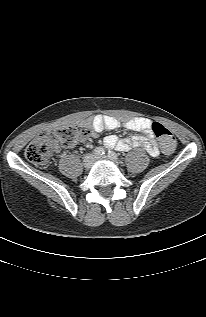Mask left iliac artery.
Masks as SVG:
<instances>
[{"mask_svg":"<svg viewBox=\"0 0 206 317\" xmlns=\"http://www.w3.org/2000/svg\"><path fill=\"white\" fill-rule=\"evenodd\" d=\"M107 155H108V157L110 158V159H112V160H114V161H118V156H117V154L115 153V152H113V151H108V153H107Z\"/></svg>","mask_w":206,"mask_h":317,"instance_id":"left-iliac-artery-1","label":"left iliac artery"}]
</instances>
